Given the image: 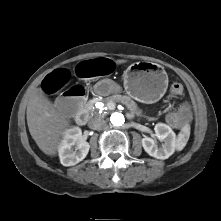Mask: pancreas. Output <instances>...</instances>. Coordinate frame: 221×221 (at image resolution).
<instances>
[{"mask_svg":"<svg viewBox=\"0 0 221 221\" xmlns=\"http://www.w3.org/2000/svg\"><path fill=\"white\" fill-rule=\"evenodd\" d=\"M103 102L105 104L109 103V102H114V103H122L123 105H125L127 107V109L135 114L136 116H142V111L138 108L137 104L127 95H113L110 96L106 99L103 100ZM94 103L95 100H90L86 105H85V109L87 111V113L89 114H93L95 113V108H94Z\"/></svg>","mask_w":221,"mask_h":221,"instance_id":"1","label":"pancreas"}]
</instances>
